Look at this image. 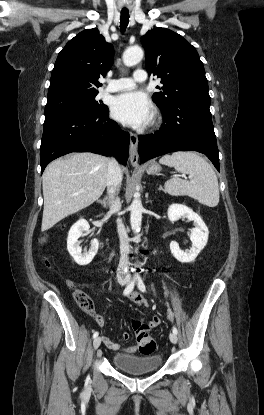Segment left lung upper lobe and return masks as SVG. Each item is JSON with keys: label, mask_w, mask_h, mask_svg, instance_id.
Instances as JSON below:
<instances>
[{"label": "left lung upper lobe", "mask_w": 264, "mask_h": 415, "mask_svg": "<svg viewBox=\"0 0 264 415\" xmlns=\"http://www.w3.org/2000/svg\"><path fill=\"white\" fill-rule=\"evenodd\" d=\"M141 42L149 75L161 78L162 86H157L161 91L152 96L161 110L186 98L210 99L203 63L196 49L181 35L155 28Z\"/></svg>", "instance_id": "5c2ea615"}]
</instances>
